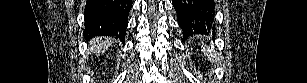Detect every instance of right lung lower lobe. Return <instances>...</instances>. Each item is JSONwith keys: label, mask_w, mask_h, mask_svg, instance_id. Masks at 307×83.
Wrapping results in <instances>:
<instances>
[{"label": "right lung lower lobe", "mask_w": 307, "mask_h": 83, "mask_svg": "<svg viewBox=\"0 0 307 83\" xmlns=\"http://www.w3.org/2000/svg\"><path fill=\"white\" fill-rule=\"evenodd\" d=\"M132 0H87L83 35L115 36L124 42Z\"/></svg>", "instance_id": "98d812e1"}]
</instances>
